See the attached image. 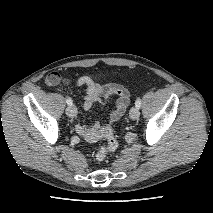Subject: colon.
<instances>
[{
  "label": "colon",
  "instance_id": "obj_1",
  "mask_svg": "<svg viewBox=\"0 0 213 213\" xmlns=\"http://www.w3.org/2000/svg\"><path fill=\"white\" fill-rule=\"evenodd\" d=\"M52 79L55 80V78ZM103 137L105 142L100 146L95 155L97 163H102L107 158L108 154L114 152L118 147V142L114 135L112 122H108L104 126Z\"/></svg>",
  "mask_w": 213,
  "mask_h": 213
}]
</instances>
